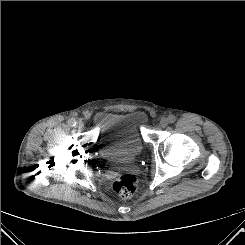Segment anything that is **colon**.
Instances as JSON below:
<instances>
[{"instance_id":"obj_1","label":"colon","mask_w":245,"mask_h":245,"mask_svg":"<svg viewBox=\"0 0 245 245\" xmlns=\"http://www.w3.org/2000/svg\"><path fill=\"white\" fill-rule=\"evenodd\" d=\"M137 187V178L132 174L119 175L113 182V189L124 199L132 197Z\"/></svg>"}]
</instances>
